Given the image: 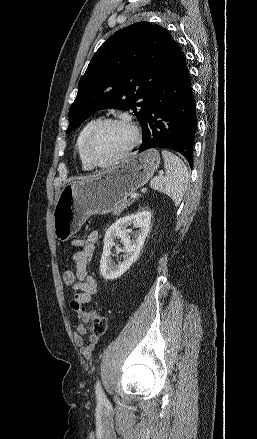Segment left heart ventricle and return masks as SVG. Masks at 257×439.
I'll return each instance as SVG.
<instances>
[{
	"mask_svg": "<svg viewBox=\"0 0 257 439\" xmlns=\"http://www.w3.org/2000/svg\"><path fill=\"white\" fill-rule=\"evenodd\" d=\"M131 138V130L126 126L107 125L94 137L90 146V153L98 162L109 161L128 146Z\"/></svg>",
	"mask_w": 257,
	"mask_h": 439,
	"instance_id": "1",
	"label": "left heart ventricle"
}]
</instances>
